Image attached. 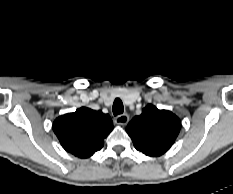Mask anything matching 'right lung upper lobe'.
<instances>
[{"mask_svg":"<svg viewBox=\"0 0 233 194\" xmlns=\"http://www.w3.org/2000/svg\"><path fill=\"white\" fill-rule=\"evenodd\" d=\"M112 129L113 123L108 114L86 107L60 116L53 123L62 147L79 158H88L100 150Z\"/></svg>","mask_w":233,"mask_h":194,"instance_id":"1","label":"right lung upper lobe"}]
</instances>
